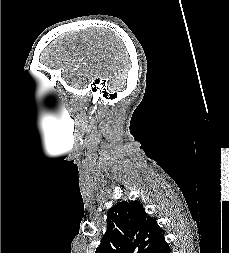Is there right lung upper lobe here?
Returning a JSON list of instances; mask_svg holds the SVG:
<instances>
[{
	"instance_id": "cb5924a9",
	"label": "right lung upper lobe",
	"mask_w": 229,
	"mask_h": 253,
	"mask_svg": "<svg viewBox=\"0 0 229 253\" xmlns=\"http://www.w3.org/2000/svg\"><path fill=\"white\" fill-rule=\"evenodd\" d=\"M107 231L95 253H152L164 230L137 201L119 202L107 213Z\"/></svg>"
}]
</instances>
